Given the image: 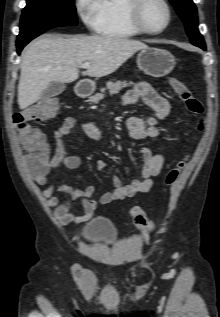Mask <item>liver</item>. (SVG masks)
<instances>
[{"label": "liver", "mask_w": 220, "mask_h": 317, "mask_svg": "<svg viewBox=\"0 0 220 317\" xmlns=\"http://www.w3.org/2000/svg\"><path fill=\"white\" fill-rule=\"evenodd\" d=\"M147 47L140 41L115 36L39 37L22 52L19 108L36 103L52 81L71 83L77 80L78 68L83 63L91 64L82 72L83 76L104 77Z\"/></svg>", "instance_id": "liver-1"}]
</instances>
